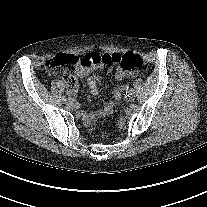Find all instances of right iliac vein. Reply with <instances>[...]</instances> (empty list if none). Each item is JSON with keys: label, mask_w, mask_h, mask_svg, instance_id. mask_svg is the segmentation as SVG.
<instances>
[{"label": "right iliac vein", "mask_w": 207, "mask_h": 207, "mask_svg": "<svg viewBox=\"0 0 207 207\" xmlns=\"http://www.w3.org/2000/svg\"><path fill=\"white\" fill-rule=\"evenodd\" d=\"M67 104H71L72 103V99L71 98H69V99H66V101H65Z\"/></svg>", "instance_id": "63e3f726"}]
</instances>
